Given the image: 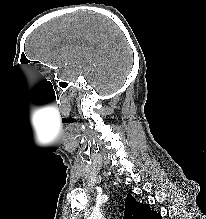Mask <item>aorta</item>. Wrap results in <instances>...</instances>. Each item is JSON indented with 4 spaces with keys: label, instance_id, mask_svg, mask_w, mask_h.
Masks as SVG:
<instances>
[{
    "label": "aorta",
    "instance_id": "762f6f07",
    "mask_svg": "<svg viewBox=\"0 0 206 219\" xmlns=\"http://www.w3.org/2000/svg\"><path fill=\"white\" fill-rule=\"evenodd\" d=\"M90 219H101V216L98 214L92 215Z\"/></svg>",
    "mask_w": 206,
    "mask_h": 219
}]
</instances>
